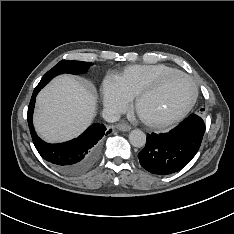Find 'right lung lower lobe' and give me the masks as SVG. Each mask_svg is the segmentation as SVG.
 I'll return each instance as SVG.
<instances>
[{
    "mask_svg": "<svg viewBox=\"0 0 234 234\" xmlns=\"http://www.w3.org/2000/svg\"><path fill=\"white\" fill-rule=\"evenodd\" d=\"M40 87H36L28 107L27 121L33 143L43 159L53 164L60 172L77 175L88 170L99 153V140L111 132H106L103 124H93L78 138L59 144H48L41 140L33 127L32 115L35 99Z\"/></svg>",
    "mask_w": 234,
    "mask_h": 234,
    "instance_id": "right-lung-lower-lobe-1",
    "label": "right lung lower lobe"
}]
</instances>
